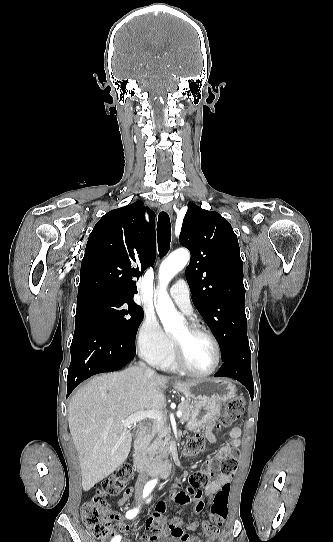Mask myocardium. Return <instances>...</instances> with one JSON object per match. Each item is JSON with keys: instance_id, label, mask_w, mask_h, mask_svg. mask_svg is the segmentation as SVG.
<instances>
[{"instance_id": "obj_1", "label": "myocardium", "mask_w": 333, "mask_h": 542, "mask_svg": "<svg viewBox=\"0 0 333 542\" xmlns=\"http://www.w3.org/2000/svg\"><path fill=\"white\" fill-rule=\"evenodd\" d=\"M188 329L191 333L206 336L213 343L214 349H215L214 365L212 366L211 369L204 372H197L190 369L183 358V354H182L180 346L173 340H171V346H170V354H171L172 360L181 371H183L184 373L190 376L206 377V376L212 375L213 373L216 372V370L218 369L221 363V347L217 338L211 331L207 330L206 328L198 324H191L188 326Z\"/></svg>"}]
</instances>
